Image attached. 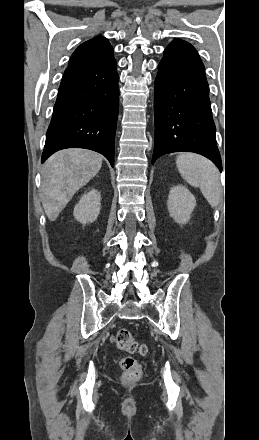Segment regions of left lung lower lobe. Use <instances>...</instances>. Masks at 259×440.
<instances>
[{
    "label": "left lung lower lobe",
    "instance_id": "0a47b994",
    "mask_svg": "<svg viewBox=\"0 0 259 440\" xmlns=\"http://www.w3.org/2000/svg\"><path fill=\"white\" fill-rule=\"evenodd\" d=\"M154 116L152 164L162 155L187 151L207 157L222 170L204 65L185 41H172L158 65Z\"/></svg>",
    "mask_w": 259,
    "mask_h": 440
}]
</instances>
